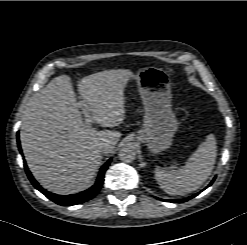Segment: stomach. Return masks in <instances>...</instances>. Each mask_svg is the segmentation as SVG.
<instances>
[{"label": "stomach", "instance_id": "0dacf381", "mask_svg": "<svg viewBox=\"0 0 247 245\" xmlns=\"http://www.w3.org/2000/svg\"><path fill=\"white\" fill-rule=\"evenodd\" d=\"M133 79L144 105V123L138 139L152 153H160L171 146L178 128L171 105L170 77L163 69L151 66L140 69Z\"/></svg>", "mask_w": 247, "mask_h": 245}]
</instances>
